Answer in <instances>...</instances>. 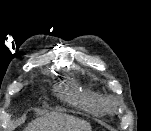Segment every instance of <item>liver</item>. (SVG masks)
Listing matches in <instances>:
<instances>
[{
    "instance_id": "obj_1",
    "label": "liver",
    "mask_w": 151,
    "mask_h": 131,
    "mask_svg": "<svg viewBox=\"0 0 151 131\" xmlns=\"http://www.w3.org/2000/svg\"><path fill=\"white\" fill-rule=\"evenodd\" d=\"M24 131H91V125L71 115L52 113L34 120Z\"/></svg>"
}]
</instances>
